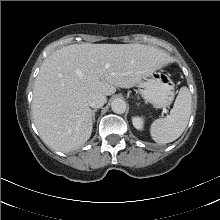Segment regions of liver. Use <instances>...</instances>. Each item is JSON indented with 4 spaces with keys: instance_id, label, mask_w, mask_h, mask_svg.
Returning <instances> with one entry per match:
<instances>
[{
    "instance_id": "6515ba94",
    "label": "liver",
    "mask_w": 220,
    "mask_h": 220,
    "mask_svg": "<svg viewBox=\"0 0 220 220\" xmlns=\"http://www.w3.org/2000/svg\"><path fill=\"white\" fill-rule=\"evenodd\" d=\"M172 61L163 50L143 44L83 43L54 51L33 89L32 114L41 139L57 151L79 148L93 128L89 94L131 88Z\"/></svg>"
}]
</instances>
